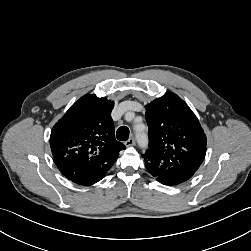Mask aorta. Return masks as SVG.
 Returning <instances> with one entry per match:
<instances>
[{"instance_id": "aorta-1", "label": "aorta", "mask_w": 251, "mask_h": 251, "mask_svg": "<svg viewBox=\"0 0 251 251\" xmlns=\"http://www.w3.org/2000/svg\"><path fill=\"white\" fill-rule=\"evenodd\" d=\"M137 141L140 147H146L147 145V136L142 133H137Z\"/></svg>"}]
</instances>
